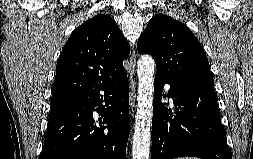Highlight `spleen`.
Masks as SVG:
<instances>
[{"label": "spleen", "instance_id": "3e777b00", "mask_svg": "<svg viewBox=\"0 0 253 159\" xmlns=\"http://www.w3.org/2000/svg\"><path fill=\"white\" fill-rule=\"evenodd\" d=\"M177 159H198V158H195V157H185V158H177Z\"/></svg>", "mask_w": 253, "mask_h": 159}]
</instances>
